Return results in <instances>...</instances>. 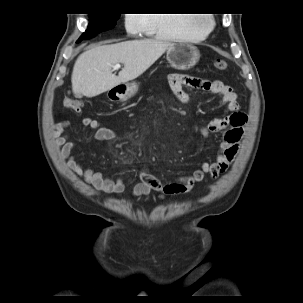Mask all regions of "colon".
Wrapping results in <instances>:
<instances>
[{"label":"colon","instance_id":"1","mask_svg":"<svg viewBox=\"0 0 303 303\" xmlns=\"http://www.w3.org/2000/svg\"><path fill=\"white\" fill-rule=\"evenodd\" d=\"M214 66L217 70L224 71L227 69L228 64L224 59H216L214 61ZM66 105L74 110H78V111L81 110V103H79L78 101L70 100L66 102Z\"/></svg>","mask_w":303,"mask_h":303}]
</instances>
